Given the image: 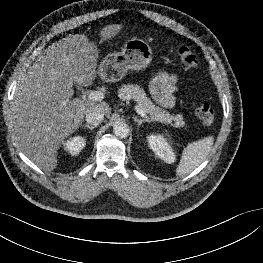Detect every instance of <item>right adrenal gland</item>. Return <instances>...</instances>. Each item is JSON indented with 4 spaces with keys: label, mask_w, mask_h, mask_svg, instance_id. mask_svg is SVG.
<instances>
[{
    "label": "right adrenal gland",
    "mask_w": 263,
    "mask_h": 263,
    "mask_svg": "<svg viewBox=\"0 0 263 263\" xmlns=\"http://www.w3.org/2000/svg\"><path fill=\"white\" fill-rule=\"evenodd\" d=\"M82 127L88 128V129H90V130H93V129H95L97 126H91V125H88V124H84V125H82Z\"/></svg>",
    "instance_id": "right-adrenal-gland-1"
}]
</instances>
